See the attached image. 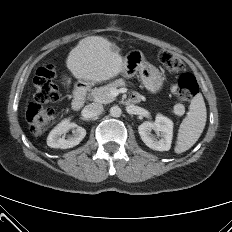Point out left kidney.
<instances>
[{"label": "left kidney", "instance_id": "obj_1", "mask_svg": "<svg viewBox=\"0 0 232 232\" xmlns=\"http://www.w3.org/2000/svg\"><path fill=\"white\" fill-rule=\"evenodd\" d=\"M152 130L157 133L158 137L152 134ZM142 141L151 149L157 151H168L171 147L173 137V122L158 114L155 122L145 121L138 127ZM160 139H157L159 138Z\"/></svg>", "mask_w": 232, "mask_h": 232}]
</instances>
